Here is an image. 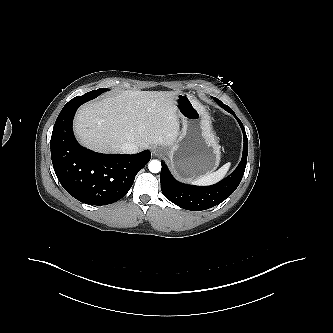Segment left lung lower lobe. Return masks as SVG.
<instances>
[{
	"mask_svg": "<svg viewBox=\"0 0 333 333\" xmlns=\"http://www.w3.org/2000/svg\"><path fill=\"white\" fill-rule=\"evenodd\" d=\"M213 99L220 107L237 119L244 137L243 155L237 168L228 177L211 186H193L180 183L172 176L167 165L161 162L160 182L163 195L172 203L191 211L209 209L229 197L241 182L247 162L248 139L243 124L230 107L223 104L216 97Z\"/></svg>",
	"mask_w": 333,
	"mask_h": 333,
	"instance_id": "0a47b994",
	"label": "left lung lower lobe"
}]
</instances>
